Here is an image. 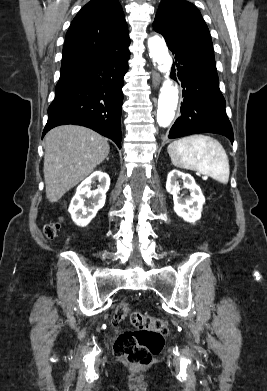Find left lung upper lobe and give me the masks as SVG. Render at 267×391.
I'll list each match as a JSON object with an SVG mask.
<instances>
[{
  "label": "left lung upper lobe",
  "instance_id": "left-lung-upper-lobe-1",
  "mask_svg": "<svg viewBox=\"0 0 267 391\" xmlns=\"http://www.w3.org/2000/svg\"><path fill=\"white\" fill-rule=\"evenodd\" d=\"M153 28L166 42L206 54L214 58L209 30L199 10L184 0H162Z\"/></svg>",
  "mask_w": 267,
  "mask_h": 391
}]
</instances>
